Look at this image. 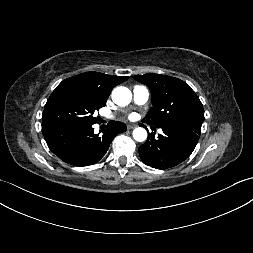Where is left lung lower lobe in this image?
Returning a JSON list of instances; mask_svg holds the SVG:
<instances>
[{
    "label": "left lung lower lobe",
    "instance_id": "1",
    "mask_svg": "<svg viewBox=\"0 0 253 253\" xmlns=\"http://www.w3.org/2000/svg\"><path fill=\"white\" fill-rule=\"evenodd\" d=\"M160 128L164 134H159L157 139L149 134L139 147V155L147 166L162 170L180 164L191 155L199 140L201 125Z\"/></svg>",
    "mask_w": 253,
    "mask_h": 253
}]
</instances>
